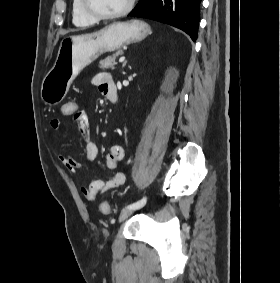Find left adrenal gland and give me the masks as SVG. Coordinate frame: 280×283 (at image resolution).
I'll return each instance as SVG.
<instances>
[{
  "instance_id": "a2214340",
  "label": "left adrenal gland",
  "mask_w": 280,
  "mask_h": 283,
  "mask_svg": "<svg viewBox=\"0 0 280 283\" xmlns=\"http://www.w3.org/2000/svg\"><path fill=\"white\" fill-rule=\"evenodd\" d=\"M126 63H127V61L124 62L123 67H125Z\"/></svg>"
}]
</instances>
